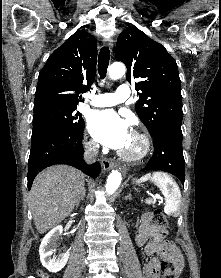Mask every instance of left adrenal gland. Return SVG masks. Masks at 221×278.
<instances>
[{"label":"left adrenal gland","instance_id":"obj_1","mask_svg":"<svg viewBox=\"0 0 221 278\" xmlns=\"http://www.w3.org/2000/svg\"><path fill=\"white\" fill-rule=\"evenodd\" d=\"M125 200H132V195H131V193H129L125 198H124Z\"/></svg>","mask_w":221,"mask_h":278}]
</instances>
